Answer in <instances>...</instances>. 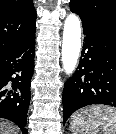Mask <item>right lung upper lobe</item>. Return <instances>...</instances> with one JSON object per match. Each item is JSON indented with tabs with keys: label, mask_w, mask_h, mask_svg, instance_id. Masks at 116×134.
I'll return each mask as SVG.
<instances>
[{
	"label": "right lung upper lobe",
	"mask_w": 116,
	"mask_h": 134,
	"mask_svg": "<svg viewBox=\"0 0 116 134\" xmlns=\"http://www.w3.org/2000/svg\"><path fill=\"white\" fill-rule=\"evenodd\" d=\"M32 0H0V55L36 31Z\"/></svg>",
	"instance_id": "right-lung-upper-lobe-1"
}]
</instances>
